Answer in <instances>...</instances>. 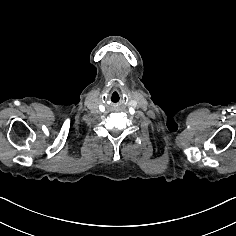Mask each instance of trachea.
<instances>
[{
  "instance_id": "3493384b",
  "label": "trachea",
  "mask_w": 236,
  "mask_h": 236,
  "mask_svg": "<svg viewBox=\"0 0 236 236\" xmlns=\"http://www.w3.org/2000/svg\"><path fill=\"white\" fill-rule=\"evenodd\" d=\"M110 96L111 102L115 104L122 98V93L119 90H114L111 92Z\"/></svg>"
}]
</instances>
